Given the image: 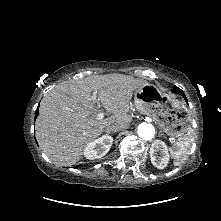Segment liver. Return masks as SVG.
<instances>
[{
  "label": "liver",
  "instance_id": "liver-1",
  "mask_svg": "<svg viewBox=\"0 0 221 221\" xmlns=\"http://www.w3.org/2000/svg\"><path fill=\"white\" fill-rule=\"evenodd\" d=\"M145 84V80L114 73L57 85L40 103L35 124L39 146L55 164H75L82 158L87 144L108 125H129L133 93ZM93 91H97V102L112 114L110 117L98 119L91 101Z\"/></svg>",
  "mask_w": 221,
  "mask_h": 221
}]
</instances>
